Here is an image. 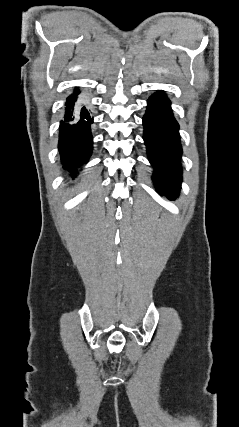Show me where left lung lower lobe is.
Masks as SVG:
<instances>
[{
    "label": "left lung lower lobe",
    "instance_id": "left-lung-lower-lobe-1",
    "mask_svg": "<svg viewBox=\"0 0 239 427\" xmlns=\"http://www.w3.org/2000/svg\"><path fill=\"white\" fill-rule=\"evenodd\" d=\"M143 126L148 158L155 168V187L162 195L172 199L179 194L181 185L182 147L179 125L172 114L170 101L163 92L149 98Z\"/></svg>",
    "mask_w": 239,
    "mask_h": 427
}]
</instances>
